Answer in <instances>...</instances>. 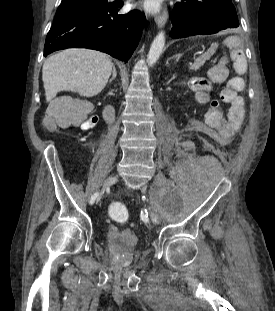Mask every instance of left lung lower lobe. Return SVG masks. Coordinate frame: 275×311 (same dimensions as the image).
I'll return each mask as SVG.
<instances>
[{
    "label": "left lung lower lobe",
    "mask_w": 275,
    "mask_h": 311,
    "mask_svg": "<svg viewBox=\"0 0 275 311\" xmlns=\"http://www.w3.org/2000/svg\"><path fill=\"white\" fill-rule=\"evenodd\" d=\"M171 22L173 39L209 35L239 26L231 0H182L175 4Z\"/></svg>",
    "instance_id": "obj_1"
}]
</instances>
